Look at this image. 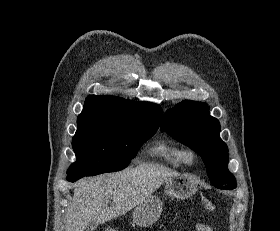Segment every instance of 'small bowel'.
Instances as JSON below:
<instances>
[{
    "mask_svg": "<svg viewBox=\"0 0 280 231\" xmlns=\"http://www.w3.org/2000/svg\"><path fill=\"white\" fill-rule=\"evenodd\" d=\"M195 230L196 231H213V228L210 225H208V224L198 223L195 226Z\"/></svg>",
    "mask_w": 280,
    "mask_h": 231,
    "instance_id": "c3829d8e",
    "label": "small bowel"
}]
</instances>
